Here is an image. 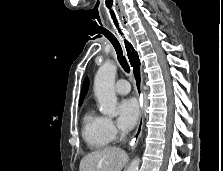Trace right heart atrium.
<instances>
[{"mask_svg":"<svg viewBox=\"0 0 223 171\" xmlns=\"http://www.w3.org/2000/svg\"><path fill=\"white\" fill-rule=\"evenodd\" d=\"M105 126L109 135L113 138L116 137L118 130L115 126V123L110 118H105Z\"/></svg>","mask_w":223,"mask_h":171,"instance_id":"1","label":"right heart atrium"}]
</instances>
